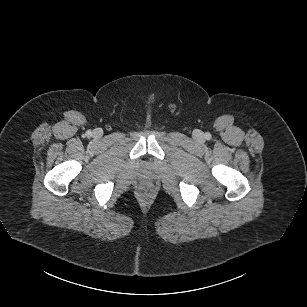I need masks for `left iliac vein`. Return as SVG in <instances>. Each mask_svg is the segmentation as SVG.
I'll list each match as a JSON object with an SVG mask.
<instances>
[{"label":"left iliac vein","mask_w":307,"mask_h":307,"mask_svg":"<svg viewBox=\"0 0 307 307\" xmlns=\"http://www.w3.org/2000/svg\"><path fill=\"white\" fill-rule=\"evenodd\" d=\"M195 138L197 139V140H201L202 139V134L200 133V132H195Z\"/></svg>","instance_id":"4c4485c4"}]
</instances>
